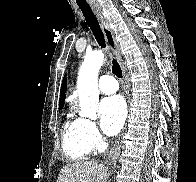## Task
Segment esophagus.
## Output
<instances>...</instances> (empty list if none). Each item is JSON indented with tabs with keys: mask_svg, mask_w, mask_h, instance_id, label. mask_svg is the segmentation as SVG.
I'll return each mask as SVG.
<instances>
[{
	"mask_svg": "<svg viewBox=\"0 0 196 182\" xmlns=\"http://www.w3.org/2000/svg\"><path fill=\"white\" fill-rule=\"evenodd\" d=\"M93 10H94V13L96 14L99 22H100V26H101V29L103 31V34H104V37L106 39L108 46L112 49L117 60L120 62L121 66H122L123 78L125 79L126 72H125V68L123 66L120 47H119L118 42L115 39V35H114L113 31L111 30L109 23H108L107 19L104 17L101 9H99L98 7H94ZM119 151H120V139L117 141L116 145L107 153V156L105 158V163H108V162L112 161L113 159H115L118 156Z\"/></svg>",
	"mask_w": 196,
	"mask_h": 182,
	"instance_id": "34e87169",
	"label": "esophagus"
}]
</instances>
